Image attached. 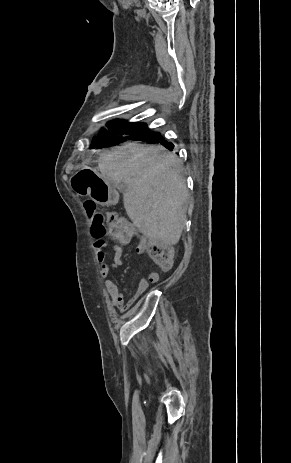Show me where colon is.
Wrapping results in <instances>:
<instances>
[{"instance_id":"obj_1","label":"colon","mask_w":291,"mask_h":463,"mask_svg":"<svg viewBox=\"0 0 291 463\" xmlns=\"http://www.w3.org/2000/svg\"><path fill=\"white\" fill-rule=\"evenodd\" d=\"M84 206L92 221L91 233L96 246L104 247L107 236L117 240L136 238L140 249L146 251L160 269L169 270L172 267L174 251L169 245L139 234L131 221L116 212L99 209L92 200H87Z\"/></svg>"}]
</instances>
